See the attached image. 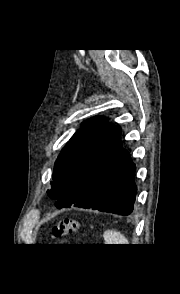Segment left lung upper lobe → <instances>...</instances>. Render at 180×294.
Here are the masks:
<instances>
[{
	"label": "left lung upper lobe",
	"instance_id": "5c2ea615",
	"mask_svg": "<svg viewBox=\"0 0 180 294\" xmlns=\"http://www.w3.org/2000/svg\"><path fill=\"white\" fill-rule=\"evenodd\" d=\"M114 128L103 116L83 122L82 128L67 142L55 162L51 189L47 191L49 197L60 200L66 196Z\"/></svg>",
	"mask_w": 180,
	"mask_h": 294
}]
</instances>
